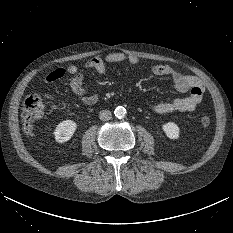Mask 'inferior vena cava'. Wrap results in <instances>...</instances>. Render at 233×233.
Instances as JSON below:
<instances>
[{"mask_svg": "<svg viewBox=\"0 0 233 233\" xmlns=\"http://www.w3.org/2000/svg\"><path fill=\"white\" fill-rule=\"evenodd\" d=\"M111 117H112V114L109 110H102L99 113V118L102 121H108L111 119Z\"/></svg>", "mask_w": 233, "mask_h": 233, "instance_id": "inferior-vena-cava-1", "label": "inferior vena cava"}]
</instances>
